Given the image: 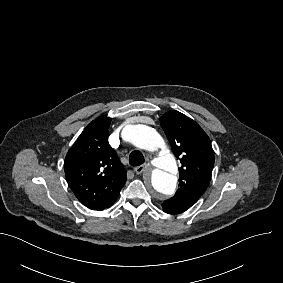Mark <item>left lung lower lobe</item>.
Returning a JSON list of instances; mask_svg holds the SVG:
<instances>
[{"label": "left lung lower lobe", "instance_id": "left-lung-lower-lobe-1", "mask_svg": "<svg viewBox=\"0 0 283 283\" xmlns=\"http://www.w3.org/2000/svg\"><path fill=\"white\" fill-rule=\"evenodd\" d=\"M162 207H163V211L168 213V214H179V213H182V212L187 210L185 208L169 207V206H166L164 204H162Z\"/></svg>", "mask_w": 283, "mask_h": 283}]
</instances>
